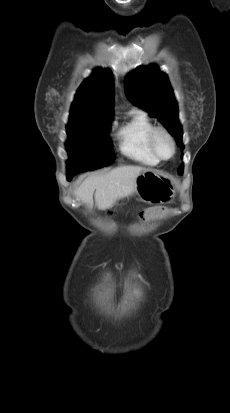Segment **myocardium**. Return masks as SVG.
I'll use <instances>...</instances> for the list:
<instances>
[{
  "label": "myocardium",
  "instance_id": "obj_1",
  "mask_svg": "<svg viewBox=\"0 0 230 413\" xmlns=\"http://www.w3.org/2000/svg\"><path fill=\"white\" fill-rule=\"evenodd\" d=\"M164 135L170 142L171 146H172V154L169 157H163L160 155V153L157 150L156 147V139L158 137V135ZM149 145H150V149L152 151V153L154 154V156L159 160V161H169L171 160L175 154H176V142L174 140V137L172 136V134L168 131L167 128L163 127V126H154L150 133H149Z\"/></svg>",
  "mask_w": 230,
  "mask_h": 413
}]
</instances>
